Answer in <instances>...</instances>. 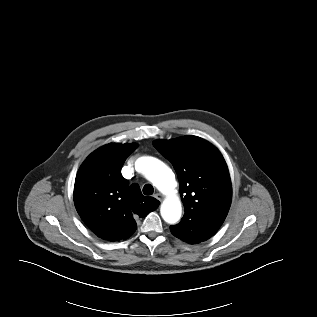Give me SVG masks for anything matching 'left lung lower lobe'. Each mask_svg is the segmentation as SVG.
I'll return each instance as SVG.
<instances>
[{"instance_id": "left-lung-lower-lobe-1", "label": "left lung lower lobe", "mask_w": 317, "mask_h": 317, "mask_svg": "<svg viewBox=\"0 0 317 317\" xmlns=\"http://www.w3.org/2000/svg\"><path fill=\"white\" fill-rule=\"evenodd\" d=\"M222 223L205 219L195 220L184 227L178 225L170 226V230L177 238L190 244H196L211 238Z\"/></svg>"}]
</instances>
